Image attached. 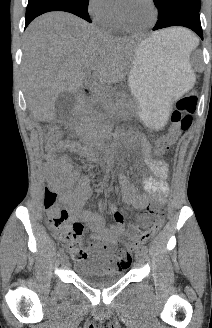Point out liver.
I'll list each match as a JSON object with an SVG mask.
<instances>
[{"instance_id":"6515ba94","label":"liver","mask_w":212,"mask_h":328,"mask_svg":"<svg viewBox=\"0 0 212 328\" xmlns=\"http://www.w3.org/2000/svg\"><path fill=\"white\" fill-rule=\"evenodd\" d=\"M178 28L152 34V40L176 42ZM135 40L116 37L79 17L49 12L30 23L23 46V83L27 106L40 122L55 119V101L62 92L76 94L87 83L83 68L91 66L99 89L119 83L128 74Z\"/></svg>"}]
</instances>
